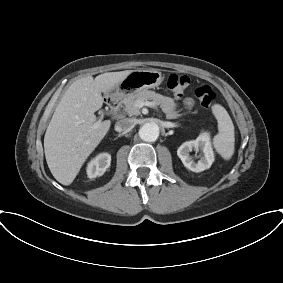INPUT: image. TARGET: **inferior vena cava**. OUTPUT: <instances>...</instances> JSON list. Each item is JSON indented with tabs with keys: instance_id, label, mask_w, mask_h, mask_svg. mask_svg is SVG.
Instances as JSON below:
<instances>
[{
	"instance_id": "602c4592",
	"label": "inferior vena cava",
	"mask_w": 283,
	"mask_h": 283,
	"mask_svg": "<svg viewBox=\"0 0 283 283\" xmlns=\"http://www.w3.org/2000/svg\"><path fill=\"white\" fill-rule=\"evenodd\" d=\"M134 122L131 119L123 118L116 122L115 129L117 131H129L133 128Z\"/></svg>"
}]
</instances>
